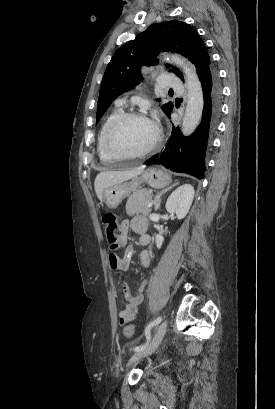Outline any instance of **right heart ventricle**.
Instances as JSON below:
<instances>
[{
	"mask_svg": "<svg viewBox=\"0 0 275 409\" xmlns=\"http://www.w3.org/2000/svg\"><path fill=\"white\" fill-rule=\"evenodd\" d=\"M121 114H123V110L121 108H116L107 117V119L104 121L103 125L101 126V129H100L99 134H98V139H97V150H98L99 157H107V155L105 153V150H104L105 138H106L107 132H108L111 124Z\"/></svg>",
	"mask_w": 275,
	"mask_h": 409,
	"instance_id": "1",
	"label": "right heart ventricle"
}]
</instances>
